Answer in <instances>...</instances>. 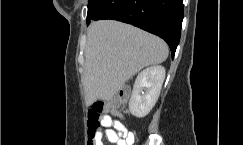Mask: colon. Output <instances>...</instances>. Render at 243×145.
<instances>
[{
	"label": "colon",
	"mask_w": 243,
	"mask_h": 145,
	"mask_svg": "<svg viewBox=\"0 0 243 145\" xmlns=\"http://www.w3.org/2000/svg\"><path fill=\"white\" fill-rule=\"evenodd\" d=\"M126 99L127 92L120 91L109 101H97L92 104L88 110V145H94V137L99 130L101 119L105 116V114H117L118 108L125 103Z\"/></svg>",
	"instance_id": "obj_1"
}]
</instances>
